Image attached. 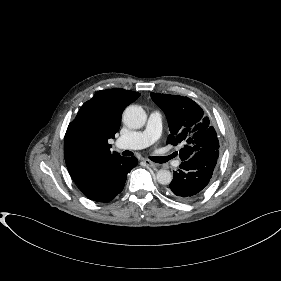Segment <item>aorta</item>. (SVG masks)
I'll list each match as a JSON object with an SVG mask.
<instances>
[{"label": "aorta", "instance_id": "obj_1", "mask_svg": "<svg viewBox=\"0 0 281 281\" xmlns=\"http://www.w3.org/2000/svg\"><path fill=\"white\" fill-rule=\"evenodd\" d=\"M147 116L144 109L137 105L128 106L123 113L124 124L132 129H139L144 126ZM158 183L168 185L172 181V174L170 171L161 169L156 174Z\"/></svg>", "mask_w": 281, "mask_h": 281}]
</instances>
